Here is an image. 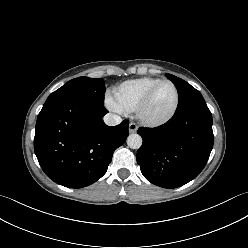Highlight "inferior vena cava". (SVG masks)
<instances>
[{
    "mask_svg": "<svg viewBox=\"0 0 248 248\" xmlns=\"http://www.w3.org/2000/svg\"><path fill=\"white\" fill-rule=\"evenodd\" d=\"M103 120L105 124L108 126H115L122 122V118L120 116L112 114V113H107L104 116Z\"/></svg>",
    "mask_w": 248,
    "mask_h": 248,
    "instance_id": "1",
    "label": "inferior vena cava"
}]
</instances>
